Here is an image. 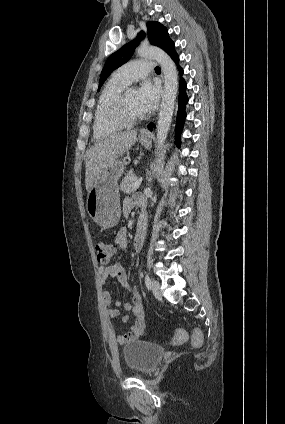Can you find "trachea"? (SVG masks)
<instances>
[{"label": "trachea", "instance_id": "obj_1", "mask_svg": "<svg viewBox=\"0 0 285 424\" xmlns=\"http://www.w3.org/2000/svg\"><path fill=\"white\" fill-rule=\"evenodd\" d=\"M155 72H158V73H160V72H161V69H160V67H158V66H157V67L155 68Z\"/></svg>", "mask_w": 285, "mask_h": 424}]
</instances>
